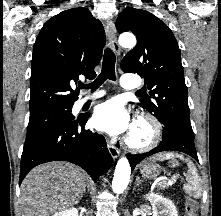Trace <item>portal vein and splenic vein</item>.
<instances>
[{
	"mask_svg": "<svg viewBox=\"0 0 221 216\" xmlns=\"http://www.w3.org/2000/svg\"><path fill=\"white\" fill-rule=\"evenodd\" d=\"M176 179H170L168 180V184L172 185L173 183H175ZM161 183H166V180L163 178Z\"/></svg>",
	"mask_w": 221,
	"mask_h": 216,
	"instance_id": "1",
	"label": "portal vein and splenic vein"
}]
</instances>
